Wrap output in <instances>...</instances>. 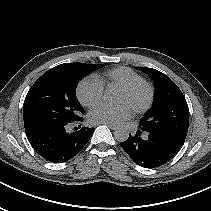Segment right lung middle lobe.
Wrapping results in <instances>:
<instances>
[{
	"label": "right lung middle lobe",
	"mask_w": 211,
	"mask_h": 211,
	"mask_svg": "<svg viewBox=\"0 0 211 211\" xmlns=\"http://www.w3.org/2000/svg\"><path fill=\"white\" fill-rule=\"evenodd\" d=\"M106 65L66 63L45 72L26 95L25 130L79 121L84 109L76 98L77 84L86 75Z\"/></svg>",
	"instance_id": "obj_1"
}]
</instances>
